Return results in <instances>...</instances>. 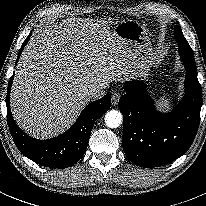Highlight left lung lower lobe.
Segmentation results:
<instances>
[{
  "label": "left lung lower lobe",
  "mask_w": 206,
  "mask_h": 206,
  "mask_svg": "<svg viewBox=\"0 0 206 206\" xmlns=\"http://www.w3.org/2000/svg\"><path fill=\"white\" fill-rule=\"evenodd\" d=\"M186 67L185 95L171 113L154 107L143 81L126 82L119 100L123 114L122 144L125 155L134 164L163 166L183 155L191 146L200 123L202 88L197 79L194 57L179 50Z\"/></svg>",
  "instance_id": "obj_1"
}]
</instances>
